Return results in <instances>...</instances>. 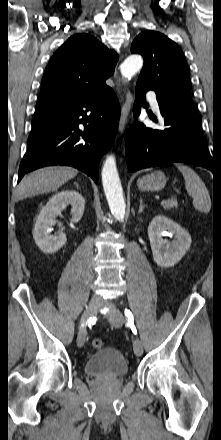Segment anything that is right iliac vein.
I'll list each match as a JSON object with an SVG mask.
<instances>
[{"label": "right iliac vein", "instance_id": "63e3f726", "mask_svg": "<svg viewBox=\"0 0 221 440\" xmlns=\"http://www.w3.org/2000/svg\"><path fill=\"white\" fill-rule=\"evenodd\" d=\"M99 306H100V300L97 297H92L82 315L81 323L85 324L89 320V318L93 317L97 313ZM86 335H87L86 329L82 326L77 336L78 347H82L84 345L86 340Z\"/></svg>", "mask_w": 221, "mask_h": 440}]
</instances>
